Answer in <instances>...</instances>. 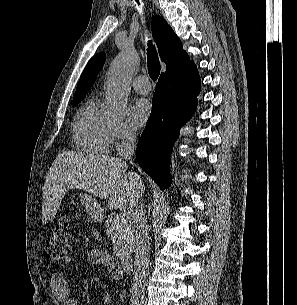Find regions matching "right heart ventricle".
<instances>
[{
	"instance_id": "e07e8e85",
	"label": "right heart ventricle",
	"mask_w": 297,
	"mask_h": 305,
	"mask_svg": "<svg viewBox=\"0 0 297 305\" xmlns=\"http://www.w3.org/2000/svg\"><path fill=\"white\" fill-rule=\"evenodd\" d=\"M111 115L95 99L87 100L75 115L73 141L82 151L106 154L112 144Z\"/></svg>"
}]
</instances>
